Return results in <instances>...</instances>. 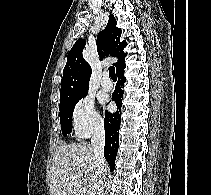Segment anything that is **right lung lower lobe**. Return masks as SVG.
<instances>
[{"label":"right lung lower lobe","mask_w":211,"mask_h":195,"mask_svg":"<svg viewBox=\"0 0 211 195\" xmlns=\"http://www.w3.org/2000/svg\"><path fill=\"white\" fill-rule=\"evenodd\" d=\"M118 76V84L117 87L112 94V99L116 102L118 106V111L114 114L105 111V147H104V156L107 160L110 170L113 171L115 168V159L119 146V127L121 123V116L119 111L122 106V97L123 90L119 88V86H123L126 78L124 77V69L117 72Z\"/></svg>","instance_id":"1"}]
</instances>
